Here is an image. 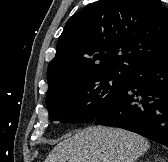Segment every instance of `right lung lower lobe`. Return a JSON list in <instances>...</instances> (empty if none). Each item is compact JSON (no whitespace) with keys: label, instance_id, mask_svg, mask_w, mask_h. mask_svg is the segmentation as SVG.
<instances>
[{"label":"right lung lower lobe","instance_id":"1","mask_svg":"<svg viewBox=\"0 0 168 162\" xmlns=\"http://www.w3.org/2000/svg\"><path fill=\"white\" fill-rule=\"evenodd\" d=\"M96 125L123 128L168 147V56L131 74Z\"/></svg>","mask_w":168,"mask_h":162}]
</instances>
